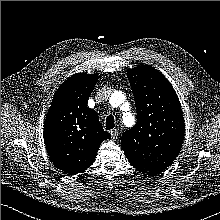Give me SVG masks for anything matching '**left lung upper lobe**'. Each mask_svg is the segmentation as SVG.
Returning a JSON list of instances; mask_svg holds the SVG:
<instances>
[{"mask_svg": "<svg viewBox=\"0 0 220 220\" xmlns=\"http://www.w3.org/2000/svg\"><path fill=\"white\" fill-rule=\"evenodd\" d=\"M137 110V123L123 133L121 145L140 173L160 174L172 164L183 144L185 124L179 99L169 81L154 67L127 71Z\"/></svg>", "mask_w": 220, "mask_h": 220, "instance_id": "1", "label": "left lung upper lobe"}]
</instances>
